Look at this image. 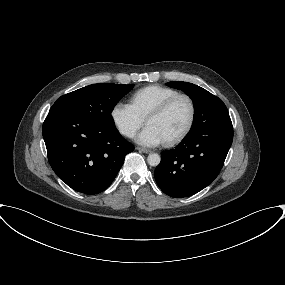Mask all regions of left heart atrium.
<instances>
[{"mask_svg": "<svg viewBox=\"0 0 285 285\" xmlns=\"http://www.w3.org/2000/svg\"><path fill=\"white\" fill-rule=\"evenodd\" d=\"M136 142L144 146L153 147L164 143V140L155 128L147 125L136 136Z\"/></svg>", "mask_w": 285, "mask_h": 285, "instance_id": "1", "label": "left heart atrium"}]
</instances>
